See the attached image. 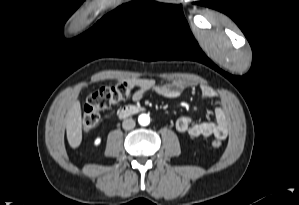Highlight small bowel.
Wrapping results in <instances>:
<instances>
[{
    "instance_id": "c3829d8e",
    "label": "small bowel",
    "mask_w": 299,
    "mask_h": 205,
    "mask_svg": "<svg viewBox=\"0 0 299 205\" xmlns=\"http://www.w3.org/2000/svg\"><path fill=\"white\" fill-rule=\"evenodd\" d=\"M136 90L132 94L135 102L141 101L148 93L173 99L179 97L184 90L192 88L195 83L188 79L162 80L156 82L152 78L134 79ZM199 91L203 99L212 100L216 98L215 91L206 85H200ZM215 121L195 122L190 117H180L176 120L175 127L178 132L188 134L191 137L215 136L224 139L229 130V114L226 105L220 102L214 110Z\"/></svg>"
}]
</instances>
